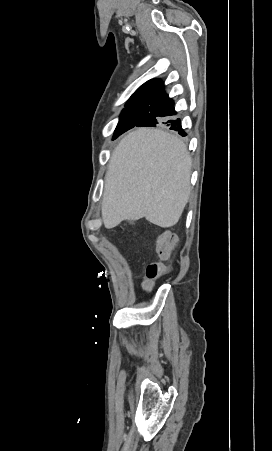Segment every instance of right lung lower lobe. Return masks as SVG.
Masks as SVG:
<instances>
[{
  "instance_id": "98d812e1",
  "label": "right lung lower lobe",
  "mask_w": 272,
  "mask_h": 451,
  "mask_svg": "<svg viewBox=\"0 0 272 451\" xmlns=\"http://www.w3.org/2000/svg\"><path fill=\"white\" fill-rule=\"evenodd\" d=\"M173 105L174 103L172 99H170L168 95L162 90L156 97L153 98L150 104L149 113L139 122L133 124L125 131L133 128L134 126H156L159 123H163L169 126L170 129L176 130L179 132V134L185 136L186 134L184 133V130L181 126V120L179 118L175 120H168L167 118V116L177 114V112L174 110ZM125 131L121 132L120 134L124 133Z\"/></svg>"
}]
</instances>
